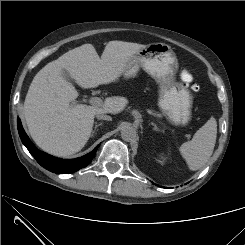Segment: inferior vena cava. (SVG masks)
<instances>
[{"instance_id":"obj_1","label":"inferior vena cava","mask_w":245,"mask_h":245,"mask_svg":"<svg viewBox=\"0 0 245 245\" xmlns=\"http://www.w3.org/2000/svg\"><path fill=\"white\" fill-rule=\"evenodd\" d=\"M96 118L99 120H107V121H111L112 118L104 113H96Z\"/></svg>"}]
</instances>
